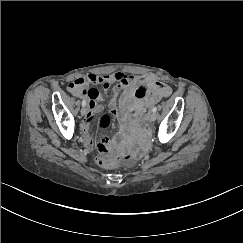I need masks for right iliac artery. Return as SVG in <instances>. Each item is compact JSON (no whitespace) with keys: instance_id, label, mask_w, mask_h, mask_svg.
I'll return each mask as SVG.
<instances>
[{"instance_id":"1","label":"right iliac artery","mask_w":243,"mask_h":243,"mask_svg":"<svg viewBox=\"0 0 243 243\" xmlns=\"http://www.w3.org/2000/svg\"><path fill=\"white\" fill-rule=\"evenodd\" d=\"M86 105V102L83 100L82 101V106L84 107Z\"/></svg>"}]
</instances>
